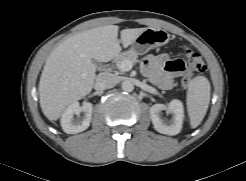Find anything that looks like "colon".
<instances>
[{
  "instance_id": "obj_1",
  "label": "colon",
  "mask_w": 246,
  "mask_h": 181,
  "mask_svg": "<svg viewBox=\"0 0 246 181\" xmlns=\"http://www.w3.org/2000/svg\"><path fill=\"white\" fill-rule=\"evenodd\" d=\"M183 54L185 56V65L186 68H188V71L183 75L181 84L186 88L192 81V72H203L205 70V63L200 54L190 48L184 47Z\"/></svg>"
}]
</instances>
